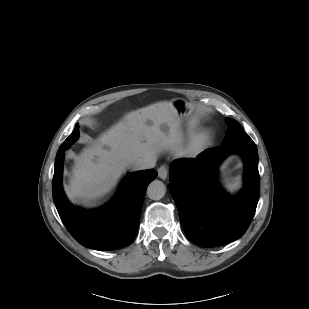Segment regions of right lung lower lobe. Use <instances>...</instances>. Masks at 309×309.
I'll use <instances>...</instances> for the list:
<instances>
[{"label": "right lung lower lobe", "instance_id": "1", "mask_svg": "<svg viewBox=\"0 0 309 309\" xmlns=\"http://www.w3.org/2000/svg\"><path fill=\"white\" fill-rule=\"evenodd\" d=\"M65 150L56 155L52 193L59 216L70 234L83 246L99 251L117 250L131 244L138 230L146 187L156 178V170L129 175L107 205L84 211L74 208L62 189Z\"/></svg>", "mask_w": 309, "mask_h": 309}]
</instances>
